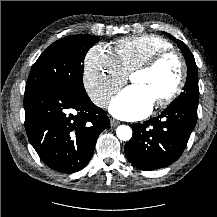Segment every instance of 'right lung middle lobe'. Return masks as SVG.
Listing matches in <instances>:
<instances>
[{
	"mask_svg": "<svg viewBox=\"0 0 217 217\" xmlns=\"http://www.w3.org/2000/svg\"><path fill=\"white\" fill-rule=\"evenodd\" d=\"M98 41V36L81 34L66 36L51 44L33 65L25 92L60 86L85 93L84 58Z\"/></svg>",
	"mask_w": 217,
	"mask_h": 217,
	"instance_id": "dd1d6c3e",
	"label": "right lung middle lobe"
}]
</instances>
